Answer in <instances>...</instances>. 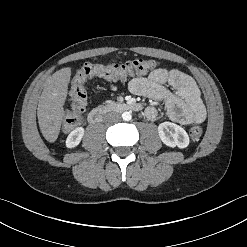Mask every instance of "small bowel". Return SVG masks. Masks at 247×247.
I'll use <instances>...</instances> for the list:
<instances>
[{
	"label": "small bowel",
	"instance_id": "obj_1",
	"mask_svg": "<svg viewBox=\"0 0 247 247\" xmlns=\"http://www.w3.org/2000/svg\"><path fill=\"white\" fill-rule=\"evenodd\" d=\"M167 85L173 87L175 92H171ZM110 90H115V86L112 85ZM129 90L135 95L163 101L170 119L180 124H199L205 120L206 110L196 82L178 69L159 68L147 76L133 78ZM145 115L149 120H155L159 111L149 106Z\"/></svg>",
	"mask_w": 247,
	"mask_h": 247
}]
</instances>
